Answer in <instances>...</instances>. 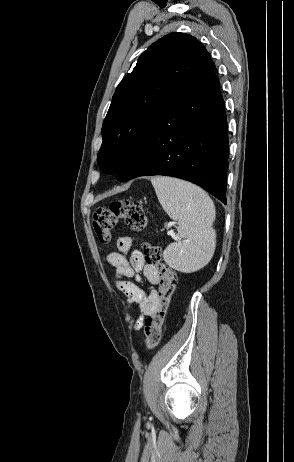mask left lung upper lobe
Segmentation results:
<instances>
[{
    "label": "left lung upper lobe",
    "mask_w": 294,
    "mask_h": 462,
    "mask_svg": "<svg viewBox=\"0 0 294 462\" xmlns=\"http://www.w3.org/2000/svg\"><path fill=\"white\" fill-rule=\"evenodd\" d=\"M214 68L205 47L188 34L171 33L149 46L113 95L102 126L100 168L118 172L157 115Z\"/></svg>",
    "instance_id": "5c2ea615"
}]
</instances>
